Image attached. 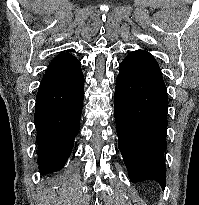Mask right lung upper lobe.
<instances>
[{
  "instance_id": "right-lung-upper-lobe-1",
  "label": "right lung upper lobe",
  "mask_w": 199,
  "mask_h": 205,
  "mask_svg": "<svg viewBox=\"0 0 199 205\" xmlns=\"http://www.w3.org/2000/svg\"><path fill=\"white\" fill-rule=\"evenodd\" d=\"M81 70V63L73 55L69 53H60L48 66L45 73L55 74L60 77H68Z\"/></svg>"
}]
</instances>
